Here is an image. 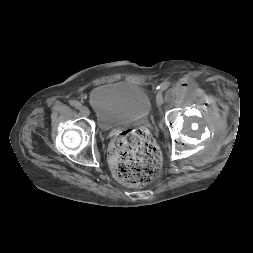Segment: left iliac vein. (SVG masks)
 <instances>
[{
    "label": "left iliac vein",
    "instance_id": "obj_1",
    "mask_svg": "<svg viewBox=\"0 0 253 253\" xmlns=\"http://www.w3.org/2000/svg\"><path fill=\"white\" fill-rule=\"evenodd\" d=\"M156 101H157V105L158 106H162V104H163V96H162V94L160 92L156 96Z\"/></svg>",
    "mask_w": 253,
    "mask_h": 253
}]
</instances>
